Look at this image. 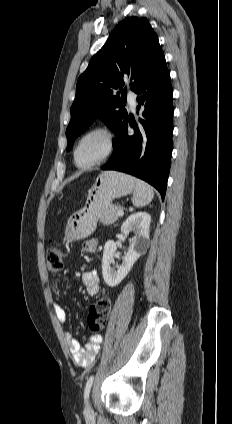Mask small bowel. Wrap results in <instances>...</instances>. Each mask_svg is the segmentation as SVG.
I'll return each mask as SVG.
<instances>
[{
  "instance_id": "small-bowel-1",
  "label": "small bowel",
  "mask_w": 232,
  "mask_h": 424,
  "mask_svg": "<svg viewBox=\"0 0 232 424\" xmlns=\"http://www.w3.org/2000/svg\"><path fill=\"white\" fill-rule=\"evenodd\" d=\"M98 244V239L90 238L84 242L83 249L86 252H94L98 248ZM82 281L86 286L88 295L96 296L99 293L100 278L97 271L83 273ZM54 283L56 285H67L70 283V279L67 276H59L54 280ZM53 311L59 322H67L68 313L62 305L55 303L53 305ZM65 337L73 361L81 367L93 365L100 350L101 336H92L85 347H81L79 341L70 332H66Z\"/></svg>"
}]
</instances>
